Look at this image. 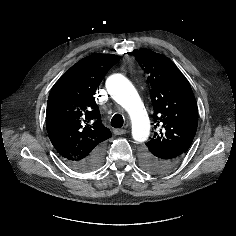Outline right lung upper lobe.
Instances as JSON below:
<instances>
[{"instance_id": "obj_1", "label": "right lung upper lobe", "mask_w": 236, "mask_h": 236, "mask_svg": "<svg viewBox=\"0 0 236 236\" xmlns=\"http://www.w3.org/2000/svg\"><path fill=\"white\" fill-rule=\"evenodd\" d=\"M119 59L113 54L87 56L52 87L47 102L46 128L62 158H86L111 137L110 130L102 124L94 94Z\"/></svg>"}]
</instances>
